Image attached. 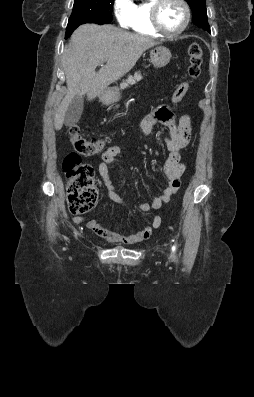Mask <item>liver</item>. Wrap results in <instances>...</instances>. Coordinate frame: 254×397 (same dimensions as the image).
Masks as SVG:
<instances>
[{"instance_id":"6515ba94","label":"liver","mask_w":254,"mask_h":397,"mask_svg":"<svg viewBox=\"0 0 254 397\" xmlns=\"http://www.w3.org/2000/svg\"><path fill=\"white\" fill-rule=\"evenodd\" d=\"M159 42L151 37L123 31L112 25L84 24L65 47L62 64L67 93L56 110L54 127L60 130L66 110L76 96L93 100L128 73L141 55ZM106 62L99 72L96 68Z\"/></svg>"}]
</instances>
